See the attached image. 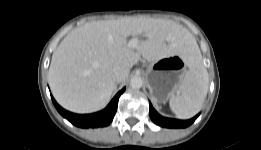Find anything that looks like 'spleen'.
Masks as SVG:
<instances>
[{"mask_svg": "<svg viewBox=\"0 0 261 150\" xmlns=\"http://www.w3.org/2000/svg\"><path fill=\"white\" fill-rule=\"evenodd\" d=\"M188 66L176 94L169 99V106L179 119L192 118L201 110L209 88L208 72L196 43L189 50Z\"/></svg>", "mask_w": 261, "mask_h": 150, "instance_id": "3e777b00", "label": "spleen"}]
</instances>
